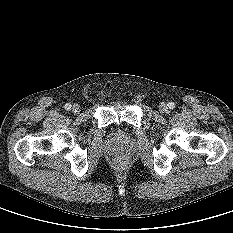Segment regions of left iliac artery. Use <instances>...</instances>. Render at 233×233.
I'll list each match as a JSON object with an SVG mask.
<instances>
[{
	"instance_id": "1",
	"label": "left iliac artery",
	"mask_w": 233,
	"mask_h": 233,
	"mask_svg": "<svg viewBox=\"0 0 233 233\" xmlns=\"http://www.w3.org/2000/svg\"><path fill=\"white\" fill-rule=\"evenodd\" d=\"M167 106L169 107V109L175 108V104L173 102H169Z\"/></svg>"
}]
</instances>
